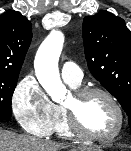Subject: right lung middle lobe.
Returning a JSON list of instances; mask_svg holds the SVG:
<instances>
[{
    "mask_svg": "<svg viewBox=\"0 0 131 151\" xmlns=\"http://www.w3.org/2000/svg\"><path fill=\"white\" fill-rule=\"evenodd\" d=\"M18 73L0 72V119L11 118V99L17 85Z\"/></svg>",
    "mask_w": 131,
    "mask_h": 151,
    "instance_id": "obj_1",
    "label": "right lung middle lobe"
}]
</instances>
